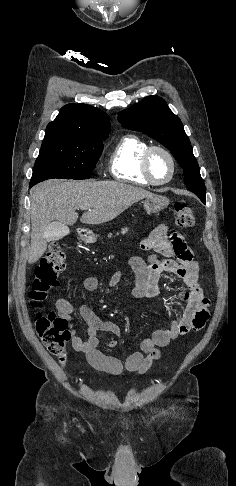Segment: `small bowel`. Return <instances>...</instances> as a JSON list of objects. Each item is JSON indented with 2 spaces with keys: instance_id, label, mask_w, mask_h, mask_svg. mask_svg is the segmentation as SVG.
Wrapping results in <instances>:
<instances>
[{
  "instance_id": "obj_1",
  "label": "small bowel",
  "mask_w": 236,
  "mask_h": 486,
  "mask_svg": "<svg viewBox=\"0 0 236 486\" xmlns=\"http://www.w3.org/2000/svg\"><path fill=\"white\" fill-rule=\"evenodd\" d=\"M141 247L155 253L151 254L147 261L140 256L130 258L129 264L135 274V286L131 290L133 297L158 296V283L163 274L180 278L187 289L180 294L184 307L179 317L173 320L168 328L156 329L150 337L144 338L140 343V350L129 355L125 361L105 355L98 350V333L107 332L119 337L122 329L118 324L100 319L86 304H81L79 313L87 324V337L83 339L77 335L72 323L73 305L64 298H59L55 303L58 316L68 323L74 350L84 353L88 363L94 369L110 375L129 372L139 376L146 373L160 358L161 348L180 335L201 330L209 319L208 300L204 297L198 282V264L194 261L193 254L184 239L179 234L171 232L167 225L162 224L142 241ZM120 278L121 273L116 272L109 280L108 287H116ZM98 287L99 280L96 277H87L83 282L85 291H95ZM108 346L114 348L116 341L109 342Z\"/></svg>"
}]
</instances>
